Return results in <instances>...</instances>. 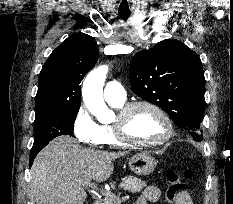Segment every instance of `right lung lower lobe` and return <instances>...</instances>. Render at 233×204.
Here are the masks:
<instances>
[{
    "mask_svg": "<svg viewBox=\"0 0 233 204\" xmlns=\"http://www.w3.org/2000/svg\"><path fill=\"white\" fill-rule=\"evenodd\" d=\"M42 148H43V147H32L31 152H30V162H29L30 167H31V165H32V163H33V160H34L35 156L38 154V152H39Z\"/></svg>",
    "mask_w": 233,
    "mask_h": 204,
    "instance_id": "98d812e1",
    "label": "right lung lower lobe"
}]
</instances>
